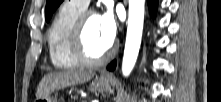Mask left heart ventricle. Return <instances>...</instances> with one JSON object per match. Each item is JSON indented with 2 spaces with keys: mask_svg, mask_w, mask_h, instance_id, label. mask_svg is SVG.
I'll return each instance as SVG.
<instances>
[{
  "mask_svg": "<svg viewBox=\"0 0 221 102\" xmlns=\"http://www.w3.org/2000/svg\"><path fill=\"white\" fill-rule=\"evenodd\" d=\"M84 43L86 51L91 57L101 56L111 45L102 37L99 19L96 15L90 16L86 22Z\"/></svg>",
  "mask_w": 221,
  "mask_h": 102,
  "instance_id": "left-heart-ventricle-1",
  "label": "left heart ventricle"
}]
</instances>
